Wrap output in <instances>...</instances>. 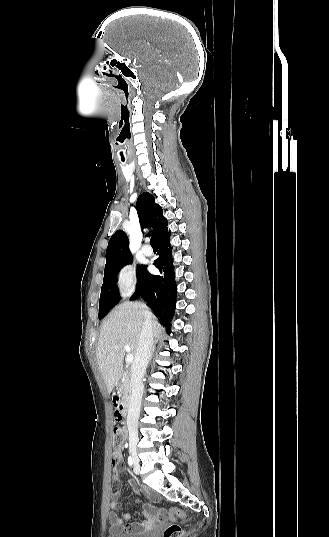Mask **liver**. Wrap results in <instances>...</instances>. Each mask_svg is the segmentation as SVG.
<instances>
[{
	"label": "liver",
	"instance_id": "liver-1",
	"mask_svg": "<svg viewBox=\"0 0 329 537\" xmlns=\"http://www.w3.org/2000/svg\"><path fill=\"white\" fill-rule=\"evenodd\" d=\"M151 318L155 337L162 327L147 308L137 302H124L117 306L102 322L96 357L108 393L119 382L125 356L124 345H129L131 355H135L145 315Z\"/></svg>",
	"mask_w": 329,
	"mask_h": 537
}]
</instances>
